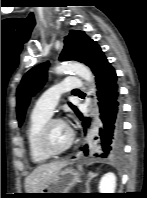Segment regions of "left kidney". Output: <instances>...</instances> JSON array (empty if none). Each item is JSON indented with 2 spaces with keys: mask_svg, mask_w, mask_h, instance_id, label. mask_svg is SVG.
Here are the masks:
<instances>
[{
  "mask_svg": "<svg viewBox=\"0 0 147 198\" xmlns=\"http://www.w3.org/2000/svg\"><path fill=\"white\" fill-rule=\"evenodd\" d=\"M100 193H115L116 189V176L114 173H106L99 182Z\"/></svg>",
  "mask_w": 147,
  "mask_h": 198,
  "instance_id": "obj_1",
  "label": "left kidney"
}]
</instances>
